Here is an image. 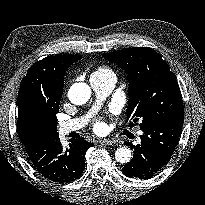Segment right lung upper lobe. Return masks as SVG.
I'll use <instances>...</instances> for the list:
<instances>
[{
  "mask_svg": "<svg viewBox=\"0 0 205 205\" xmlns=\"http://www.w3.org/2000/svg\"><path fill=\"white\" fill-rule=\"evenodd\" d=\"M80 58V55L48 56L30 67L21 82L17 99V130L22 143L57 134L43 110L60 103L65 72Z\"/></svg>",
  "mask_w": 205,
  "mask_h": 205,
  "instance_id": "obj_1",
  "label": "right lung upper lobe"
}]
</instances>
